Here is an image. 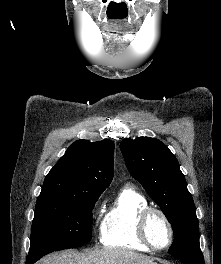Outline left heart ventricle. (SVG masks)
<instances>
[{"mask_svg":"<svg viewBox=\"0 0 221 264\" xmlns=\"http://www.w3.org/2000/svg\"><path fill=\"white\" fill-rule=\"evenodd\" d=\"M148 233L156 246H164L169 241V230L164 220L158 215H151L148 223Z\"/></svg>","mask_w":221,"mask_h":264,"instance_id":"left-heart-ventricle-1","label":"left heart ventricle"}]
</instances>
